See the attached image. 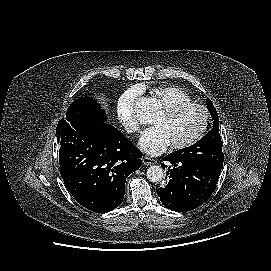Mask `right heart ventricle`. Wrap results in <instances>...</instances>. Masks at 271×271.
I'll return each instance as SVG.
<instances>
[{
  "label": "right heart ventricle",
  "instance_id": "1",
  "mask_svg": "<svg viewBox=\"0 0 271 271\" xmlns=\"http://www.w3.org/2000/svg\"><path fill=\"white\" fill-rule=\"evenodd\" d=\"M149 91L152 98L161 108L177 103L190 102L192 100L188 93L176 86H155L150 88Z\"/></svg>",
  "mask_w": 271,
  "mask_h": 271
}]
</instances>
